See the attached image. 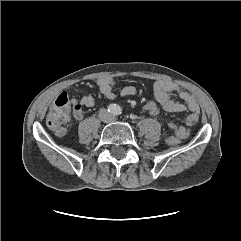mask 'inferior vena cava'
<instances>
[{"instance_id": "1", "label": "inferior vena cava", "mask_w": 241, "mask_h": 241, "mask_svg": "<svg viewBox=\"0 0 241 241\" xmlns=\"http://www.w3.org/2000/svg\"><path fill=\"white\" fill-rule=\"evenodd\" d=\"M99 118L103 122H111L114 120L115 117H114V115L109 113L106 109H101L99 112Z\"/></svg>"}]
</instances>
